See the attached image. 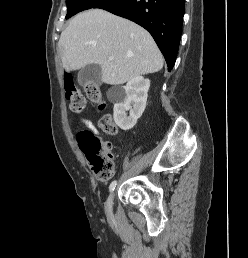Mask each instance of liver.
Wrapping results in <instances>:
<instances>
[{"mask_svg": "<svg viewBox=\"0 0 248 258\" xmlns=\"http://www.w3.org/2000/svg\"><path fill=\"white\" fill-rule=\"evenodd\" d=\"M58 49L67 72L99 64L102 81L110 85L163 67V56L145 29L101 9L76 15L61 33ZM109 56L114 59L110 61Z\"/></svg>", "mask_w": 248, "mask_h": 258, "instance_id": "1", "label": "liver"}]
</instances>
